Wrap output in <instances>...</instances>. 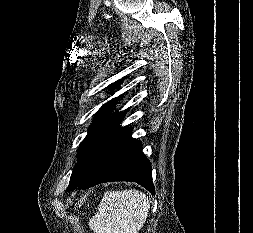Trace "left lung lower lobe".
I'll use <instances>...</instances> for the list:
<instances>
[{
  "instance_id": "left-lung-lower-lobe-1",
  "label": "left lung lower lobe",
  "mask_w": 253,
  "mask_h": 233,
  "mask_svg": "<svg viewBox=\"0 0 253 233\" xmlns=\"http://www.w3.org/2000/svg\"><path fill=\"white\" fill-rule=\"evenodd\" d=\"M110 181H135L152 194L151 163L142 152L141 143L131 137L128 127H117L96 158L91 170L74 188L87 189Z\"/></svg>"
}]
</instances>
